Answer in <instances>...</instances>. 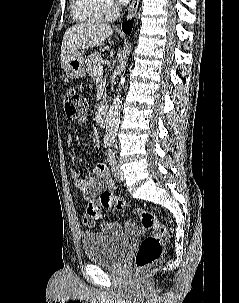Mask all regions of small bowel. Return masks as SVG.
I'll use <instances>...</instances> for the list:
<instances>
[{
	"label": "small bowel",
	"mask_w": 239,
	"mask_h": 303,
	"mask_svg": "<svg viewBox=\"0 0 239 303\" xmlns=\"http://www.w3.org/2000/svg\"><path fill=\"white\" fill-rule=\"evenodd\" d=\"M74 141L73 135H69L67 143L72 145ZM92 172L95 176L83 178L79 170L73 169L71 176L74 181L75 187L81 192L82 198L85 201L93 200L96 193L103 189L113 190L115 184L111 178L109 170L103 163L96 164ZM84 223L89 227H94V219L84 216ZM136 225L132 220L125 221L124 225L117 222H104L101 225V230L104 233L120 234L123 231H131L135 229Z\"/></svg>",
	"instance_id": "1"
}]
</instances>
